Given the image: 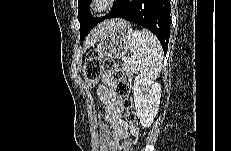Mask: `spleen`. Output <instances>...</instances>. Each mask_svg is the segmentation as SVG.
Masks as SVG:
<instances>
[{"label":"spleen","mask_w":231,"mask_h":151,"mask_svg":"<svg viewBox=\"0 0 231 151\" xmlns=\"http://www.w3.org/2000/svg\"><path fill=\"white\" fill-rule=\"evenodd\" d=\"M132 61L141 75L157 79L163 63V50L157 37L148 30L132 31L127 36Z\"/></svg>","instance_id":"1"}]
</instances>
